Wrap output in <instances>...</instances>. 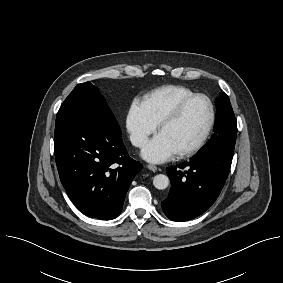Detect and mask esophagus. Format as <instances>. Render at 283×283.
Here are the masks:
<instances>
[{
	"mask_svg": "<svg viewBox=\"0 0 283 283\" xmlns=\"http://www.w3.org/2000/svg\"><path fill=\"white\" fill-rule=\"evenodd\" d=\"M147 168L153 172L157 171L158 170V167L155 166V165H152V164H148L147 165Z\"/></svg>",
	"mask_w": 283,
	"mask_h": 283,
	"instance_id": "34e87169",
	"label": "esophagus"
}]
</instances>
